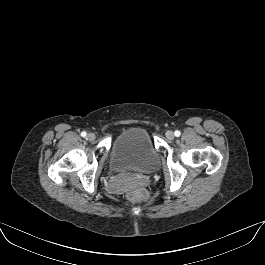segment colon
Returning <instances> with one entry per match:
<instances>
[{
  "label": "colon",
  "instance_id": "colon-1",
  "mask_svg": "<svg viewBox=\"0 0 265 265\" xmlns=\"http://www.w3.org/2000/svg\"><path fill=\"white\" fill-rule=\"evenodd\" d=\"M126 196L131 201H138L143 199L145 194L140 190H130L127 192Z\"/></svg>",
  "mask_w": 265,
  "mask_h": 265
}]
</instances>
